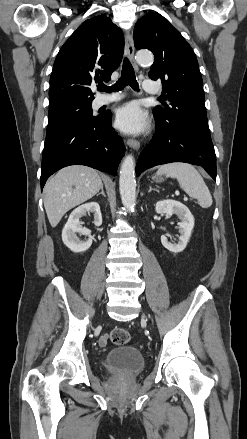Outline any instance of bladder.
Returning <instances> with one entry per match:
<instances>
[{
	"mask_svg": "<svg viewBox=\"0 0 247 439\" xmlns=\"http://www.w3.org/2000/svg\"><path fill=\"white\" fill-rule=\"evenodd\" d=\"M144 366L145 359L142 352L132 346L113 349L105 357L106 369L117 376L136 375Z\"/></svg>",
	"mask_w": 247,
	"mask_h": 439,
	"instance_id": "obj_1",
	"label": "bladder"
}]
</instances>
